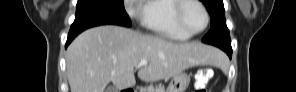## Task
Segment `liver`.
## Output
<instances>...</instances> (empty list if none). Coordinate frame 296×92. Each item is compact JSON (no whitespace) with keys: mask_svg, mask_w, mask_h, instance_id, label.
Listing matches in <instances>:
<instances>
[{"mask_svg":"<svg viewBox=\"0 0 296 92\" xmlns=\"http://www.w3.org/2000/svg\"><path fill=\"white\" fill-rule=\"evenodd\" d=\"M220 53L199 42L175 43L114 25L88 29L69 45L67 78L71 92H104L133 87L134 69L142 81L169 79L199 65H218ZM147 65L138 66L141 60Z\"/></svg>","mask_w":296,"mask_h":92,"instance_id":"6515ba94","label":"liver"}]
</instances>
